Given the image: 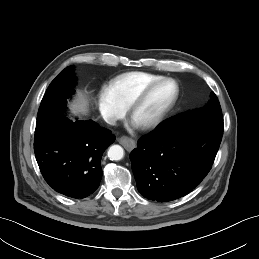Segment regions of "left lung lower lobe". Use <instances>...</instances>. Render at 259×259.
Returning a JSON list of instances; mask_svg holds the SVG:
<instances>
[{"label":"left lung lower lobe","mask_w":259,"mask_h":259,"mask_svg":"<svg viewBox=\"0 0 259 259\" xmlns=\"http://www.w3.org/2000/svg\"><path fill=\"white\" fill-rule=\"evenodd\" d=\"M223 130V119L190 116L141 137L130 154L139 193L158 202L190 193L210 171Z\"/></svg>","instance_id":"obj_1"}]
</instances>
